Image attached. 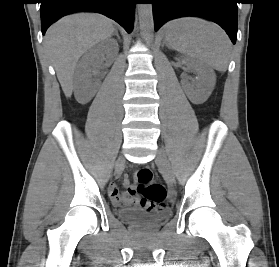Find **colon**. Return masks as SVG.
<instances>
[{
  "mask_svg": "<svg viewBox=\"0 0 279 267\" xmlns=\"http://www.w3.org/2000/svg\"><path fill=\"white\" fill-rule=\"evenodd\" d=\"M138 182V191L142 198L140 205L146 211L162 210L164 208V199L166 190L162 184L153 180V173L149 167L141 168L136 175Z\"/></svg>",
  "mask_w": 279,
  "mask_h": 267,
  "instance_id": "obj_1",
  "label": "colon"
}]
</instances>
